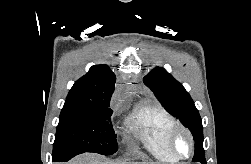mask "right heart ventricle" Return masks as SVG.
<instances>
[{"label": "right heart ventricle", "instance_id": "1", "mask_svg": "<svg viewBox=\"0 0 251 164\" xmlns=\"http://www.w3.org/2000/svg\"><path fill=\"white\" fill-rule=\"evenodd\" d=\"M176 119L160 104L140 103L127 118L144 148L157 160L164 163L176 161L167 151L166 138Z\"/></svg>", "mask_w": 251, "mask_h": 164}]
</instances>
